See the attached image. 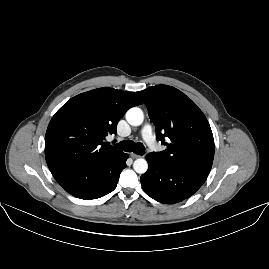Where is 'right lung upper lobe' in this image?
Listing matches in <instances>:
<instances>
[{
  "label": "right lung upper lobe",
  "mask_w": 269,
  "mask_h": 269,
  "mask_svg": "<svg viewBox=\"0 0 269 269\" xmlns=\"http://www.w3.org/2000/svg\"><path fill=\"white\" fill-rule=\"evenodd\" d=\"M142 104L136 93L99 88L79 94L51 119L45 136V158L50 170L59 166L93 163L118 153L104 145L105 136L116 134L126 111Z\"/></svg>",
  "instance_id": "1"
}]
</instances>
